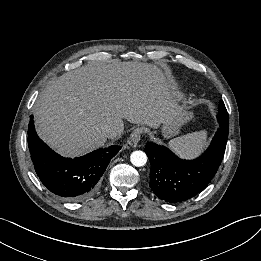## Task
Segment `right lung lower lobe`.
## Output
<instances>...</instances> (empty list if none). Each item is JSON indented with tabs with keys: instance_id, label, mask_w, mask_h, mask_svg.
I'll list each match as a JSON object with an SVG mask.
<instances>
[{
	"instance_id": "98d812e1",
	"label": "right lung lower lobe",
	"mask_w": 261,
	"mask_h": 261,
	"mask_svg": "<svg viewBox=\"0 0 261 261\" xmlns=\"http://www.w3.org/2000/svg\"><path fill=\"white\" fill-rule=\"evenodd\" d=\"M28 143L41 182L48 190L69 201L90 197L98 189L110 160L121 149V146L113 145L74 159L61 157L37 136L33 116H30Z\"/></svg>"
}]
</instances>
